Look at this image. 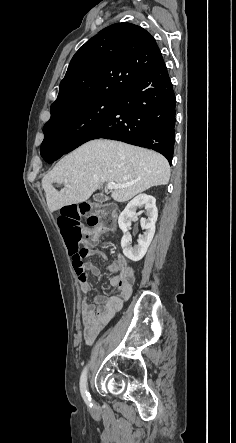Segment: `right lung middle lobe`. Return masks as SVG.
I'll return each instance as SVG.
<instances>
[{
	"label": "right lung middle lobe",
	"mask_w": 236,
	"mask_h": 443,
	"mask_svg": "<svg viewBox=\"0 0 236 443\" xmlns=\"http://www.w3.org/2000/svg\"><path fill=\"white\" fill-rule=\"evenodd\" d=\"M116 98L114 95H97L51 116L43 128L45 137L41 149L46 146H67L72 137L81 134L105 114Z\"/></svg>",
	"instance_id": "1"
}]
</instances>
